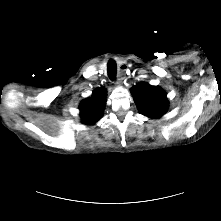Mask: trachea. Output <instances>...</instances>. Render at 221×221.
Instances as JSON below:
<instances>
[{
  "label": "trachea",
  "mask_w": 221,
  "mask_h": 221,
  "mask_svg": "<svg viewBox=\"0 0 221 221\" xmlns=\"http://www.w3.org/2000/svg\"><path fill=\"white\" fill-rule=\"evenodd\" d=\"M107 72L108 76L111 80L116 79V73H117V64L114 60H110L107 64Z\"/></svg>",
  "instance_id": "trachea-1"
}]
</instances>
